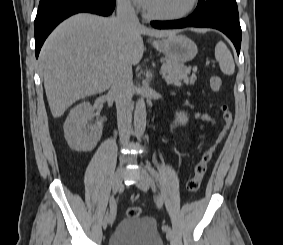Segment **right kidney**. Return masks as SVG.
Listing matches in <instances>:
<instances>
[{
    "label": "right kidney",
    "instance_id": "ca27d5eb",
    "mask_svg": "<svg viewBox=\"0 0 283 245\" xmlns=\"http://www.w3.org/2000/svg\"><path fill=\"white\" fill-rule=\"evenodd\" d=\"M96 116L89 102H82L71 109L65 123L64 136L68 145L76 151H91L102 135V122L88 123Z\"/></svg>",
    "mask_w": 283,
    "mask_h": 245
}]
</instances>
